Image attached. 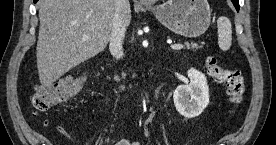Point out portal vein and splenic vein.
Instances as JSON below:
<instances>
[{
  "mask_svg": "<svg viewBox=\"0 0 276 145\" xmlns=\"http://www.w3.org/2000/svg\"><path fill=\"white\" fill-rule=\"evenodd\" d=\"M86 39H88V36H87V35H84V36H83V40H86ZM171 48H172L173 50H180V49H183L184 46H183L182 44H174V45H171Z\"/></svg>",
  "mask_w": 276,
  "mask_h": 145,
  "instance_id": "18ae733b",
  "label": "portal vein and splenic vein"
}]
</instances>
